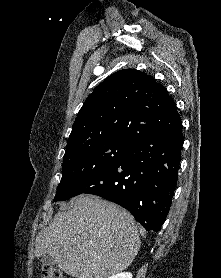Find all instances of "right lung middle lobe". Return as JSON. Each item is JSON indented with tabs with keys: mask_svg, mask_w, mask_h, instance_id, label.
<instances>
[{
	"mask_svg": "<svg viewBox=\"0 0 221 278\" xmlns=\"http://www.w3.org/2000/svg\"><path fill=\"white\" fill-rule=\"evenodd\" d=\"M130 143L125 139H93L66 150L54 201L73 197L81 186L119 160Z\"/></svg>",
	"mask_w": 221,
	"mask_h": 278,
	"instance_id": "obj_1",
	"label": "right lung middle lobe"
}]
</instances>
